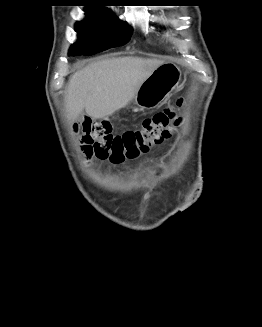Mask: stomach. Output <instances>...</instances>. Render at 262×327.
<instances>
[{
  "mask_svg": "<svg viewBox=\"0 0 262 327\" xmlns=\"http://www.w3.org/2000/svg\"><path fill=\"white\" fill-rule=\"evenodd\" d=\"M181 74L174 63L161 64L140 85L134 96V104L140 109L158 107L178 86Z\"/></svg>",
  "mask_w": 262,
  "mask_h": 327,
  "instance_id": "0dacf381",
  "label": "stomach"
}]
</instances>
